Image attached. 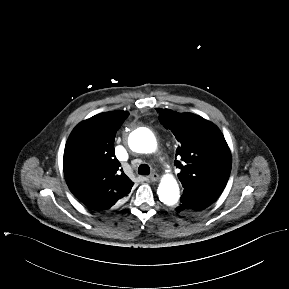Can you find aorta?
I'll use <instances>...</instances> for the list:
<instances>
[{
	"instance_id": "1",
	"label": "aorta",
	"mask_w": 289,
	"mask_h": 289,
	"mask_svg": "<svg viewBox=\"0 0 289 289\" xmlns=\"http://www.w3.org/2000/svg\"><path fill=\"white\" fill-rule=\"evenodd\" d=\"M131 150L138 153H152L157 148V141L154 134L143 129L133 132L128 140ZM157 194L159 200L168 206L175 205L180 197L179 185L172 175H166L161 179Z\"/></svg>"
}]
</instances>
